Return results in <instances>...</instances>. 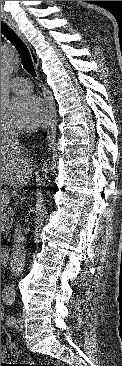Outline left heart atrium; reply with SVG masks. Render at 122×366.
Instances as JSON below:
<instances>
[{"label":"left heart atrium","instance_id":"obj_1","mask_svg":"<svg viewBox=\"0 0 122 366\" xmlns=\"http://www.w3.org/2000/svg\"><path fill=\"white\" fill-rule=\"evenodd\" d=\"M42 101L33 95L14 97L10 103L9 122L18 129H32L42 120Z\"/></svg>","mask_w":122,"mask_h":366}]
</instances>
